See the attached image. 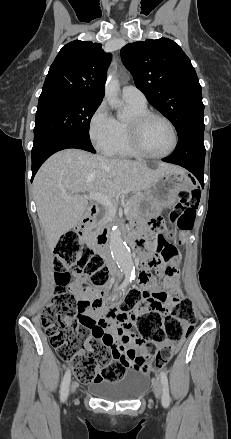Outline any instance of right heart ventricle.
<instances>
[{
	"label": "right heart ventricle",
	"instance_id": "obj_1",
	"mask_svg": "<svg viewBox=\"0 0 231 439\" xmlns=\"http://www.w3.org/2000/svg\"><path fill=\"white\" fill-rule=\"evenodd\" d=\"M132 116L148 111L147 105L128 102ZM129 120H115V140L103 152L111 156L137 157L129 142Z\"/></svg>",
	"mask_w": 231,
	"mask_h": 439
}]
</instances>
